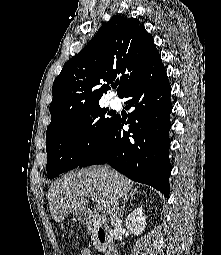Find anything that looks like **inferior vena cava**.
<instances>
[{"label":"inferior vena cava","instance_id":"1","mask_svg":"<svg viewBox=\"0 0 221 255\" xmlns=\"http://www.w3.org/2000/svg\"><path fill=\"white\" fill-rule=\"evenodd\" d=\"M118 200L119 199L117 198L115 205H114V209L110 213L112 226H117V225L121 224V220L118 217L119 216V202H118Z\"/></svg>","mask_w":221,"mask_h":255}]
</instances>
